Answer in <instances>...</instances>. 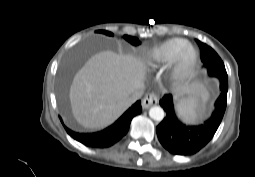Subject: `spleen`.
Returning <instances> with one entry per match:
<instances>
[{"label":"spleen","instance_id":"3e777b00","mask_svg":"<svg viewBox=\"0 0 255 177\" xmlns=\"http://www.w3.org/2000/svg\"><path fill=\"white\" fill-rule=\"evenodd\" d=\"M196 101L194 99L183 100L179 103L178 108L180 113L186 118L195 116Z\"/></svg>","mask_w":255,"mask_h":177}]
</instances>
